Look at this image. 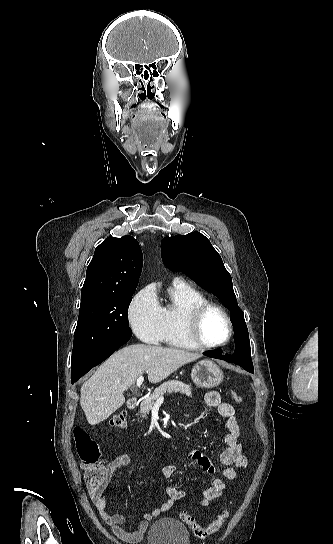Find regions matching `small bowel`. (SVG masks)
Returning a JSON list of instances; mask_svg holds the SVG:
<instances>
[{"label": "small bowel", "instance_id": "obj_1", "mask_svg": "<svg viewBox=\"0 0 333 544\" xmlns=\"http://www.w3.org/2000/svg\"><path fill=\"white\" fill-rule=\"evenodd\" d=\"M205 402L209 407L216 409L219 415L226 419L227 433L224 436L225 448L220 454V461L226 468L222 472L223 478L214 479L212 485L204 491L203 497L198 502L201 506H208L219 498L226 488V481H233L238 474L237 470L244 472L248 466V458L239 442L240 427L235 416L234 407L224 402L217 391L206 393ZM188 459L208 473L215 471V467L210 459L199 451H191ZM130 463L131 458L128 454H121L112 459L105 466L106 480L104 484L96 490H90V498L101 519L118 538L125 542L137 543L143 538L149 522L158 515L169 511L178 500L186 496V491L173 485H167L165 487L166 500L157 508L145 512L134 531H127L123 527L126 523V517L119 513L112 514L107 510L106 489L115 471L121 467L128 466ZM176 471L177 465L169 464L160 469V475L164 480L168 481Z\"/></svg>", "mask_w": 333, "mask_h": 544}]
</instances>
